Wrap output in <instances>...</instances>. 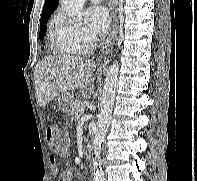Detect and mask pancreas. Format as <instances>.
Listing matches in <instances>:
<instances>
[{"instance_id":"obj_1","label":"pancreas","mask_w":197,"mask_h":181,"mask_svg":"<svg viewBox=\"0 0 197 181\" xmlns=\"http://www.w3.org/2000/svg\"><path fill=\"white\" fill-rule=\"evenodd\" d=\"M78 96H80V95H78ZM81 106H83L81 99H79V98L75 99L70 106V110H69L70 114L73 116H77L78 112H79L78 111L79 107H81Z\"/></svg>"}]
</instances>
